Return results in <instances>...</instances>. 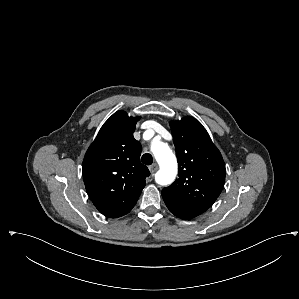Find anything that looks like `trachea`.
I'll list each match as a JSON object with an SVG mask.
<instances>
[{
  "mask_svg": "<svg viewBox=\"0 0 299 299\" xmlns=\"http://www.w3.org/2000/svg\"><path fill=\"white\" fill-rule=\"evenodd\" d=\"M141 161L142 163H144L145 165H151L153 162V158L151 156V154L149 153H145L142 157H141Z\"/></svg>",
  "mask_w": 299,
  "mask_h": 299,
  "instance_id": "3493384b",
  "label": "trachea"
}]
</instances>
